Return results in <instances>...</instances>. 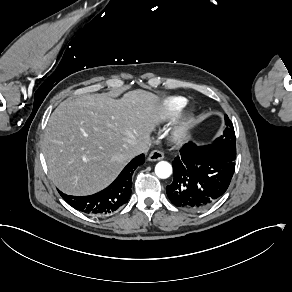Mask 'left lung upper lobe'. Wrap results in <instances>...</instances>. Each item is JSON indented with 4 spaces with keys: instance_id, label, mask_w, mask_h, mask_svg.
<instances>
[{
    "instance_id": "obj_1",
    "label": "left lung upper lobe",
    "mask_w": 292,
    "mask_h": 292,
    "mask_svg": "<svg viewBox=\"0 0 292 292\" xmlns=\"http://www.w3.org/2000/svg\"><path fill=\"white\" fill-rule=\"evenodd\" d=\"M225 129L223 135L217 138L211 145L223 148L229 152H236V139L232 122L225 115Z\"/></svg>"
}]
</instances>
